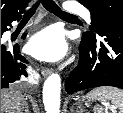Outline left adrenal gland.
<instances>
[{
	"instance_id": "left-adrenal-gland-1",
	"label": "left adrenal gland",
	"mask_w": 123,
	"mask_h": 113,
	"mask_svg": "<svg viewBox=\"0 0 123 113\" xmlns=\"http://www.w3.org/2000/svg\"><path fill=\"white\" fill-rule=\"evenodd\" d=\"M84 111H85L84 108H81V109H77L76 113H83ZM72 113H73V111H72Z\"/></svg>"
}]
</instances>
